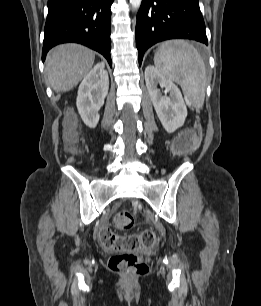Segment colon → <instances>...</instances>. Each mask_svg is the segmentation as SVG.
<instances>
[{"instance_id":"obj_1","label":"colon","mask_w":261,"mask_h":306,"mask_svg":"<svg viewBox=\"0 0 261 306\" xmlns=\"http://www.w3.org/2000/svg\"><path fill=\"white\" fill-rule=\"evenodd\" d=\"M65 126L67 142L73 145L76 139L74 119L68 117ZM197 142L196 133L185 131L174 140L173 150L177 155H182L194 149ZM114 222L117 228L126 230L133 226L134 216L129 211L121 210L115 214ZM103 229L100 230V239L104 248L117 252L109 260V268L113 272L127 276H138L148 272L149 266L146 260L135 252L153 247L157 243L158 236L153 229H144L128 235H120L109 229Z\"/></svg>"}]
</instances>
